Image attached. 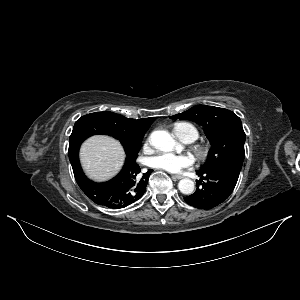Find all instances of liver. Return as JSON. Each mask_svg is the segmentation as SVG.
<instances>
[{
    "mask_svg": "<svg viewBox=\"0 0 300 300\" xmlns=\"http://www.w3.org/2000/svg\"><path fill=\"white\" fill-rule=\"evenodd\" d=\"M125 153L120 143L107 136H93L80 149L82 167L90 179L105 181L122 168Z\"/></svg>",
    "mask_w": 300,
    "mask_h": 300,
    "instance_id": "1",
    "label": "liver"
}]
</instances>
